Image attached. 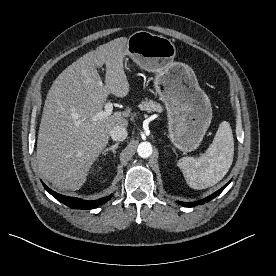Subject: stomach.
Segmentation results:
<instances>
[{"mask_svg":"<svg viewBox=\"0 0 276 276\" xmlns=\"http://www.w3.org/2000/svg\"><path fill=\"white\" fill-rule=\"evenodd\" d=\"M126 55L156 74L155 93L165 105L173 145L184 152L197 149L210 126L212 107L192 68L174 61L175 45L161 35L137 31L128 38Z\"/></svg>","mask_w":276,"mask_h":276,"instance_id":"0dacf381","label":"stomach"}]
</instances>
